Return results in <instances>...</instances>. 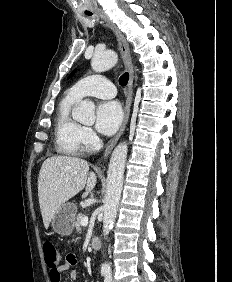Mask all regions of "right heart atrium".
<instances>
[{"mask_svg":"<svg viewBox=\"0 0 232 282\" xmlns=\"http://www.w3.org/2000/svg\"><path fill=\"white\" fill-rule=\"evenodd\" d=\"M81 139H82V144L87 149L94 148L99 141L95 132L89 127H82Z\"/></svg>","mask_w":232,"mask_h":282,"instance_id":"right-heart-atrium-1","label":"right heart atrium"}]
</instances>
